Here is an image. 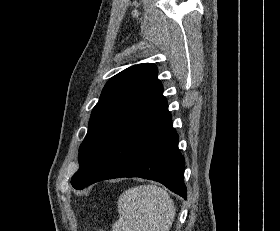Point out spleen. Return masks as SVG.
<instances>
[{
    "label": "spleen",
    "mask_w": 280,
    "mask_h": 231,
    "mask_svg": "<svg viewBox=\"0 0 280 231\" xmlns=\"http://www.w3.org/2000/svg\"><path fill=\"white\" fill-rule=\"evenodd\" d=\"M120 217L112 231H169L175 217L174 201L164 187L137 185L121 193Z\"/></svg>",
    "instance_id": "obj_1"
}]
</instances>
